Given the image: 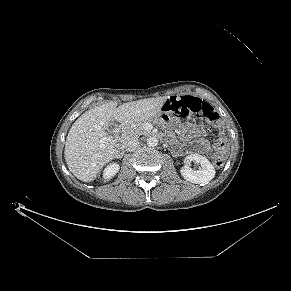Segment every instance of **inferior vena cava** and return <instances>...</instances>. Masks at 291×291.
I'll list each match as a JSON object with an SVG mask.
<instances>
[{
	"label": "inferior vena cava",
	"instance_id": "obj_1",
	"mask_svg": "<svg viewBox=\"0 0 291 291\" xmlns=\"http://www.w3.org/2000/svg\"><path fill=\"white\" fill-rule=\"evenodd\" d=\"M125 145H126V150L131 152V151L136 150L139 147L140 143L136 138H130L126 141Z\"/></svg>",
	"mask_w": 291,
	"mask_h": 291
}]
</instances>
